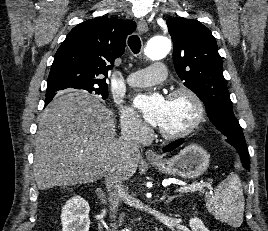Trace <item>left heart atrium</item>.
I'll list each match as a JSON object with an SVG mask.
<instances>
[{"mask_svg":"<svg viewBox=\"0 0 268 231\" xmlns=\"http://www.w3.org/2000/svg\"><path fill=\"white\" fill-rule=\"evenodd\" d=\"M133 106L145 121L152 126H159L166 107L165 98L159 94H142L133 99Z\"/></svg>","mask_w":268,"mask_h":231,"instance_id":"left-heart-atrium-1","label":"left heart atrium"}]
</instances>
